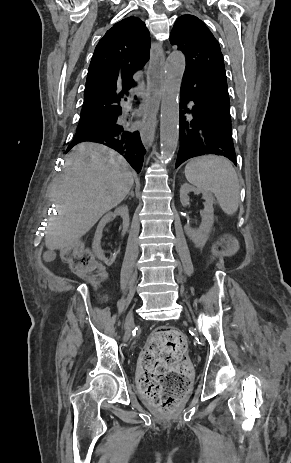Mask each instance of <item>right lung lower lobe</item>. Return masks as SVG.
Listing matches in <instances>:
<instances>
[{"label": "right lung lower lobe", "mask_w": 291, "mask_h": 463, "mask_svg": "<svg viewBox=\"0 0 291 463\" xmlns=\"http://www.w3.org/2000/svg\"><path fill=\"white\" fill-rule=\"evenodd\" d=\"M121 112L122 109L96 119H90L97 121L96 124L77 130L67 150L81 142H98L118 151L139 173L146 150L141 142L139 132L131 131L129 127L117 121Z\"/></svg>", "instance_id": "98d812e1"}]
</instances>
